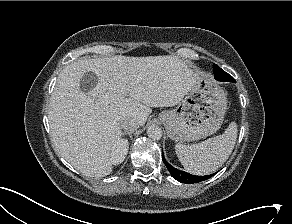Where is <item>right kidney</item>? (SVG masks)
<instances>
[{
    "label": "right kidney",
    "mask_w": 292,
    "mask_h": 224,
    "mask_svg": "<svg viewBox=\"0 0 292 224\" xmlns=\"http://www.w3.org/2000/svg\"><path fill=\"white\" fill-rule=\"evenodd\" d=\"M129 144L125 139H121L112 149L110 153V162L113 165L122 163L128 153Z\"/></svg>",
    "instance_id": "1"
}]
</instances>
